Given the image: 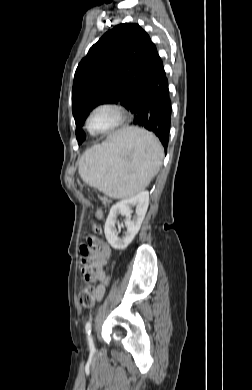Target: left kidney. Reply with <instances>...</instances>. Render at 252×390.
Here are the masks:
<instances>
[{"mask_svg": "<svg viewBox=\"0 0 252 390\" xmlns=\"http://www.w3.org/2000/svg\"><path fill=\"white\" fill-rule=\"evenodd\" d=\"M134 205H136V215L133 220H131V206ZM148 205L149 193L148 191H142L112 206L104 227L105 237L112 248L116 250H123L132 242L141 227ZM118 214L126 216L125 226L127 227V232L123 238L118 237V233L115 228Z\"/></svg>", "mask_w": 252, "mask_h": 390, "instance_id": "left-kidney-1", "label": "left kidney"}]
</instances>
